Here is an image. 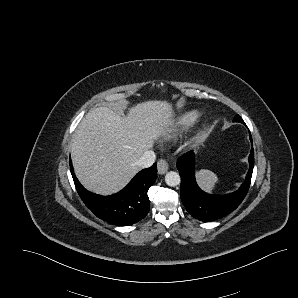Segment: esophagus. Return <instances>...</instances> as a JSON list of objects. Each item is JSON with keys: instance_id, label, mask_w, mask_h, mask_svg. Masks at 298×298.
Masks as SVG:
<instances>
[{"instance_id": "esophagus-1", "label": "esophagus", "mask_w": 298, "mask_h": 298, "mask_svg": "<svg viewBox=\"0 0 298 298\" xmlns=\"http://www.w3.org/2000/svg\"><path fill=\"white\" fill-rule=\"evenodd\" d=\"M168 163L165 159H160L158 162H157V170H158V173L159 174H165L167 171H168Z\"/></svg>"}]
</instances>
